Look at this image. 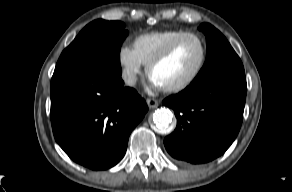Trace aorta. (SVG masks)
<instances>
[{
	"label": "aorta",
	"mask_w": 292,
	"mask_h": 192,
	"mask_svg": "<svg viewBox=\"0 0 292 192\" xmlns=\"http://www.w3.org/2000/svg\"><path fill=\"white\" fill-rule=\"evenodd\" d=\"M172 120L173 114L169 109L161 108L156 110L153 114V122L156 126V130L162 134L171 132Z\"/></svg>",
	"instance_id": "1"
}]
</instances>
